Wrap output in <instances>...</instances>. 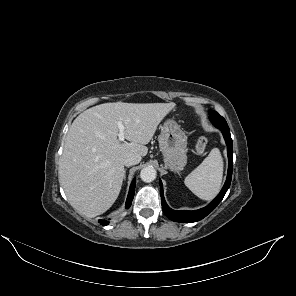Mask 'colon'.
Wrapping results in <instances>:
<instances>
[{"mask_svg":"<svg viewBox=\"0 0 296 296\" xmlns=\"http://www.w3.org/2000/svg\"><path fill=\"white\" fill-rule=\"evenodd\" d=\"M207 146V140L204 137H200L198 138L197 142H196V151L199 154H202Z\"/></svg>","mask_w":296,"mask_h":296,"instance_id":"1","label":"colon"}]
</instances>
